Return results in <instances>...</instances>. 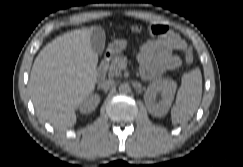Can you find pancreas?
<instances>
[{
	"label": "pancreas",
	"instance_id": "obj_1",
	"mask_svg": "<svg viewBox=\"0 0 243 167\" xmlns=\"http://www.w3.org/2000/svg\"><path fill=\"white\" fill-rule=\"evenodd\" d=\"M127 59L123 55L116 56L112 59L110 64H106L108 70V76L113 78L115 76L121 75V70L124 68Z\"/></svg>",
	"mask_w": 243,
	"mask_h": 167
}]
</instances>
